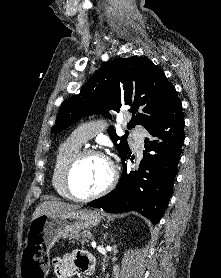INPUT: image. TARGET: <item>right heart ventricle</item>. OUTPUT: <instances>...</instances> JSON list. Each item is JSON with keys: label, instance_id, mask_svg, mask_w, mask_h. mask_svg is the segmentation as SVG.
I'll use <instances>...</instances> for the list:
<instances>
[{"label": "right heart ventricle", "instance_id": "1", "mask_svg": "<svg viewBox=\"0 0 221 278\" xmlns=\"http://www.w3.org/2000/svg\"><path fill=\"white\" fill-rule=\"evenodd\" d=\"M83 143L73 136L59 146L52 169V185L57 194L65 199H70L63 184L64 169L70 158L81 149Z\"/></svg>", "mask_w": 221, "mask_h": 278}]
</instances>
